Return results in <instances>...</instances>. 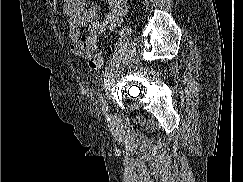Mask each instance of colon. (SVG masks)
<instances>
[{
	"label": "colon",
	"mask_w": 243,
	"mask_h": 182,
	"mask_svg": "<svg viewBox=\"0 0 243 182\" xmlns=\"http://www.w3.org/2000/svg\"><path fill=\"white\" fill-rule=\"evenodd\" d=\"M89 68L92 70H99L103 65V55L101 52L94 53L89 59Z\"/></svg>",
	"instance_id": "1"
}]
</instances>
